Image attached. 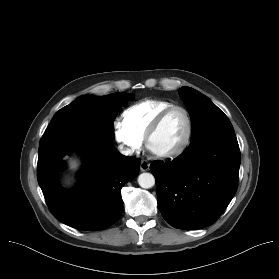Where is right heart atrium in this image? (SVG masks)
Listing matches in <instances>:
<instances>
[{"mask_svg":"<svg viewBox=\"0 0 279 279\" xmlns=\"http://www.w3.org/2000/svg\"><path fill=\"white\" fill-rule=\"evenodd\" d=\"M113 134L120 147L128 154L136 153L142 147L143 140L124 126L122 122L114 123Z\"/></svg>","mask_w":279,"mask_h":279,"instance_id":"obj_1","label":"right heart atrium"}]
</instances>
